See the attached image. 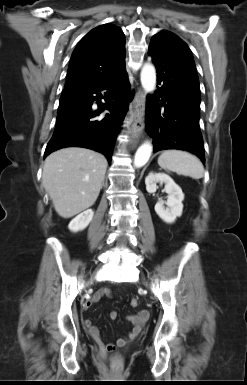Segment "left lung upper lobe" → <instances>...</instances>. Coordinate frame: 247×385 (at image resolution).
I'll return each instance as SVG.
<instances>
[{"instance_id": "5c2ea615", "label": "left lung upper lobe", "mask_w": 247, "mask_h": 385, "mask_svg": "<svg viewBox=\"0 0 247 385\" xmlns=\"http://www.w3.org/2000/svg\"><path fill=\"white\" fill-rule=\"evenodd\" d=\"M158 34H163L167 37V42L169 43L173 52L177 54L185 62V64L196 73V67L189 47L177 35L169 31L163 30Z\"/></svg>"}]
</instances>
